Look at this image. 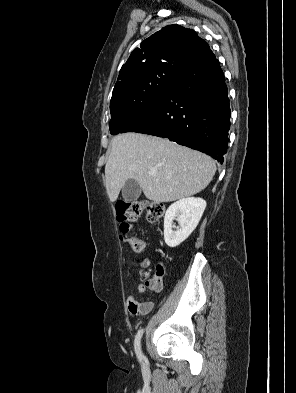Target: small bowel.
Here are the masks:
<instances>
[{
	"label": "small bowel",
	"instance_id": "c3829d8e",
	"mask_svg": "<svg viewBox=\"0 0 296 393\" xmlns=\"http://www.w3.org/2000/svg\"><path fill=\"white\" fill-rule=\"evenodd\" d=\"M151 265V260L149 258H145L140 262V267L141 270L139 271V275L141 276L143 274V271L147 269ZM162 289V284L158 282V284L155 287H152V290L154 292H160ZM146 291V284L141 283L137 286V293L142 295ZM127 306H128V311L131 316L137 317V316H143L148 313H150L154 307V303L152 301H145V302H139L133 294H130L127 296L126 299Z\"/></svg>",
	"mask_w": 296,
	"mask_h": 393
}]
</instances>
